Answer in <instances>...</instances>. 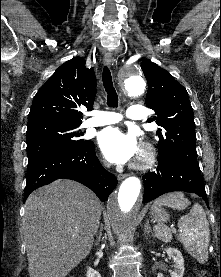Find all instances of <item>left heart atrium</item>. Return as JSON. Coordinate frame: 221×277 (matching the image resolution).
<instances>
[{"instance_id": "obj_1", "label": "left heart atrium", "mask_w": 221, "mask_h": 277, "mask_svg": "<svg viewBox=\"0 0 221 277\" xmlns=\"http://www.w3.org/2000/svg\"><path fill=\"white\" fill-rule=\"evenodd\" d=\"M99 145L104 156L112 163H127L140 153L136 137L118 128H107L99 134Z\"/></svg>"}]
</instances>
